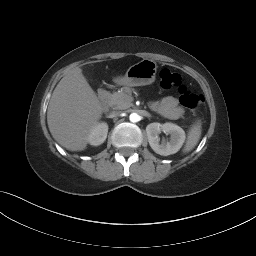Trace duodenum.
<instances>
[{
	"label": "duodenum",
	"instance_id": "obj_1",
	"mask_svg": "<svg viewBox=\"0 0 256 256\" xmlns=\"http://www.w3.org/2000/svg\"><path fill=\"white\" fill-rule=\"evenodd\" d=\"M109 101L108 91L105 89H100L98 93V102L101 107H106Z\"/></svg>",
	"mask_w": 256,
	"mask_h": 256
}]
</instances>
